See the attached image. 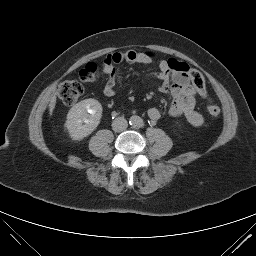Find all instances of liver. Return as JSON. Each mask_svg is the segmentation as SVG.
I'll return each mask as SVG.
<instances>
[{
	"mask_svg": "<svg viewBox=\"0 0 256 256\" xmlns=\"http://www.w3.org/2000/svg\"><path fill=\"white\" fill-rule=\"evenodd\" d=\"M56 105V96H52V98L50 99V103H49V114L52 115V112L55 108Z\"/></svg>",
	"mask_w": 256,
	"mask_h": 256,
	"instance_id": "liver-1",
	"label": "liver"
}]
</instances>
